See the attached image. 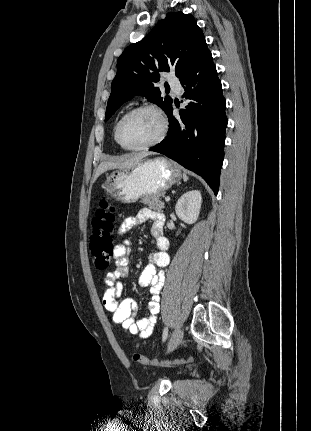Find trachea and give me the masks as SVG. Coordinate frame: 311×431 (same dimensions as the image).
I'll return each mask as SVG.
<instances>
[{"instance_id":"obj_1","label":"trachea","mask_w":311,"mask_h":431,"mask_svg":"<svg viewBox=\"0 0 311 431\" xmlns=\"http://www.w3.org/2000/svg\"><path fill=\"white\" fill-rule=\"evenodd\" d=\"M165 89H166V91H169V90H170V87H165Z\"/></svg>"}]
</instances>
